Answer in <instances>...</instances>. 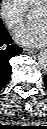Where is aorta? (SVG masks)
I'll return each instance as SVG.
<instances>
[{"mask_svg":"<svg viewBox=\"0 0 47 129\" xmlns=\"http://www.w3.org/2000/svg\"><path fill=\"white\" fill-rule=\"evenodd\" d=\"M38 63L41 68L45 69L47 67V53L45 51L38 55Z\"/></svg>","mask_w":47,"mask_h":129,"instance_id":"1","label":"aorta"}]
</instances>
